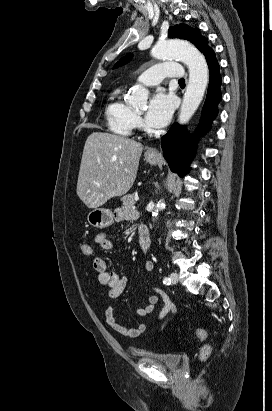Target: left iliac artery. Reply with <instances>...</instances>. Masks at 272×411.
Wrapping results in <instances>:
<instances>
[{
    "label": "left iliac artery",
    "mask_w": 272,
    "mask_h": 411,
    "mask_svg": "<svg viewBox=\"0 0 272 411\" xmlns=\"http://www.w3.org/2000/svg\"><path fill=\"white\" fill-rule=\"evenodd\" d=\"M163 284H165V285H170V284H171V279H170L169 277H165V278L163 279Z\"/></svg>",
    "instance_id": "obj_1"
}]
</instances>
